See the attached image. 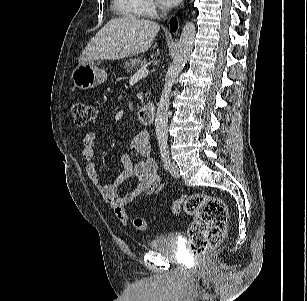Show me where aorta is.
<instances>
[{
	"label": "aorta",
	"instance_id": "aorta-1",
	"mask_svg": "<svg viewBox=\"0 0 307 301\" xmlns=\"http://www.w3.org/2000/svg\"><path fill=\"white\" fill-rule=\"evenodd\" d=\"M195 33V24L187 22L182 29L175 56L166 73L165 84L160 96L155 119L156 137L160 148L167 147L168 110L171 89L193 50Z\"/></svg>",
	"mask_w": 307,
	"mask_h": 301
}]
</instances>
